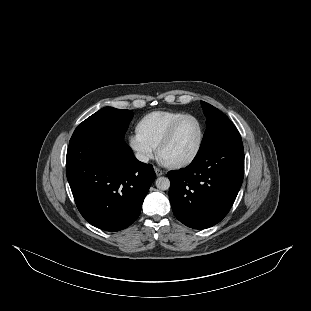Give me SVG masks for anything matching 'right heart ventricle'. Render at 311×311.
I'll use <instances>...</instances> for the list:
<instances>
[{
    "label": "right heart ventricle",
    "instance_id": "1",
    "mask_svg": "<svg viewBox=\"0 0 311 311\" xmlns=\"http://www.w3.org/2000/svg\"><path fill=\"white\" fill-rule=\"evenodd\" d=\"M185 113L177 111H152L142 116L135 124L140 140L156 149L171 126Z\"/></svg>",
    "mask_w": 311,
    "mask_h": 311
}]
</instances>
